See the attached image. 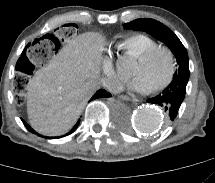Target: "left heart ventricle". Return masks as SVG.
<instances>
[{
    "instance_id": "1",
    "label": "left heart ventricle",
    "mask_w": 215,
    "mask_h": 183,
    "mask_svg": "<svg viewBox=\"0 0 215 183\" xmlns=\"http://www.w3.org/2000/svg\"><path fill=\"white\" fill-rule=\"evenodd\" d=\"M169 71L170 61L168 57L163 53H159L149 61L142 62L137 59L132 75L142 76L150 89H152L168 77Z\"/></svg>"
}]
</instances>
